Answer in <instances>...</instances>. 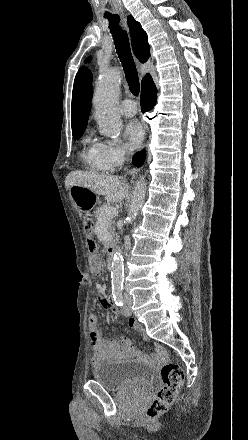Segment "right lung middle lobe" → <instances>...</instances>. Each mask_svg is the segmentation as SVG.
Listing matches in <instances>:
<instances>
[{
    "label": "right lung middle lobe",
    "mask_w": 248,
    "mask_h": 440,
    "mask_svg": "<svg viewBox=\"0 0 248 440\" xmlns=\"http://www.w3.org/2000/svg\"><path fill=\"white\" fill-rule=\"evenodd\" d=\"M83 132H84V130L83 131L73 132L74 140H78L82 136Z\"/></svg>",
    "instance_id": "dd1d6c3e"
}]
</instances>
